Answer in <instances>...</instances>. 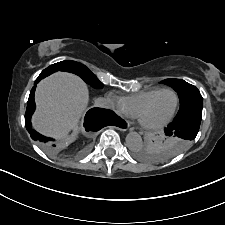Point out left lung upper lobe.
I'll return each mask as SVG.
<instances>
[{"label": "left lung upper lobe", "instance_id": "obj_1", "mask_svg": "<svg viewBox=\"0 0 225 225\" xmlns=\"http://www.w3.org/2000/svg\"><path fill=\"white\" fill-rule=\"evenodd\" d=\"M162 83L167 84L175 89L178 93L180 100V109L177 115H181L185 112L195 109L203 108V98L199 90L189 83L181 79H165ZM176 115V116H177ZM191 141H187L176 136H167L162 142L157 152L149 154H142L141 157L146 160H165L173 157L179 152L175 149L177 144H185L184 149L190 144Z\"/></svg>", "mask_w": 225, "mask_h": 225}]
</instances>
